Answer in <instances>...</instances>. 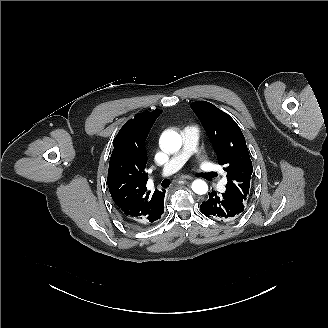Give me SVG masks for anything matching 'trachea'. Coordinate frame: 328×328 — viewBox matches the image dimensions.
<instances>
[{
	"mask_svg": "<svg viewBox=\"0 0 328 328\" xmlns=\"http://www.w3.org/2000/svg\"><path fill=\"white\" fill-rule=\"evenodd\" d=\"M169 185H170V180L164 179L163 182H162V186L163 187H168Z\"/></svg>",
	"mask_w": 328,
	"mask_h": 328,
	"instance_id": "1",
	"label": "trachea"
}]
</instances>
